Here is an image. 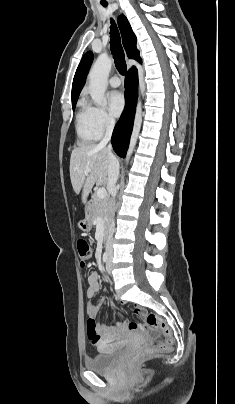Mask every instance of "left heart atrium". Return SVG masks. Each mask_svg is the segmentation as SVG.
I'll return each instance as SVG.
<instances>
[{"label": "left heart atrium", "instance_id": "obj_1", "mask_svg": "<svg viewBox=\"0 0 235 404\" xmlns=\"http://www.w3.org/2000/svg\"><path fill=\"white\" fill-rule=\"evenodd\" d=\"M108 109L110 113L117 117L119 116L125 107V98L119 91H112L107 97Z\"/></svg>", "mask_w": 235, "mask_h": 404}]
</instances>
